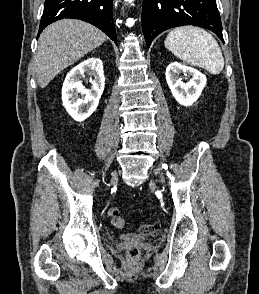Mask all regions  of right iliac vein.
Returning a JSON list of instances; mask_svg holds the SVG:
<instances>
[{
  "label": "right iliac vein",
  "mask_w": 259,
  "mask_h": 294,
  "mask_svg": "<svg viewBox=\"0 0 259 294\" xmlns=\"http://www.w3.org/2000/svg\"><path fill=\"white\" fill-rule=\"evenodd\" d=\"M117 181V174L115 173L112 177V182L115 183Z\"/></svg>",
  "instance_id": "obj_1"
}]
</instances>
